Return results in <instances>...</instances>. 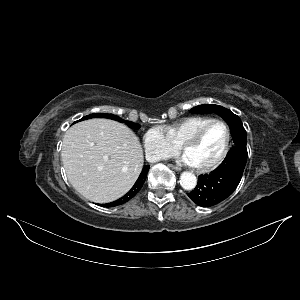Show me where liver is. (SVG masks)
Wrapping results in <instances>:
<instances>
[{
  "label": "liver",
  "mask_w": 300,
  "mask_h": 300,
  "mask_svg": "<svg viewBox=\"0 0 300 300\" xmlns=\"http://www.w3.org/2000/svg\"><path fill=\"white\" fill-rule=\"evenodd\" d=\"M143 157L134 132L110 119L79 122L63 138L61 158L69 182L96 203L125 195L142 171Z\"/></svg>",
  "instance_id": "obj_1"
}]
</instances>
